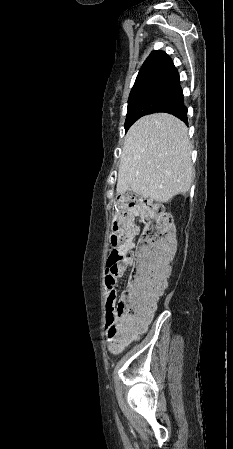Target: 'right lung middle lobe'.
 <instances>
[{
	"label": "right lung middle lobe",
	"instance_id": "1",
	"mask_svg": "<svg viewBox=\"0 0 233 449\" xmlns=\"http://www.w3.org/2000/svg\"><path fill=\"white\" fill-rule=\"evenodd\" d=\"M181 100H183L182 90L177 89L158 88L131 94L128 100L125 130L127 131L140 117L159 112Z\"/></svg>",
	"mask_w": 233,
	"mask_h": 449
}]
</instances>
